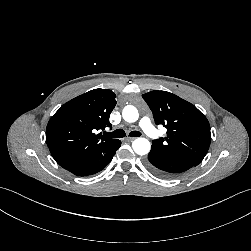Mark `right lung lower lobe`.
Returning <instances> with one entry per match:
<instances>
[{
  "mask_svg": "<svg viewBox=\"0 0 251 251\" xmlns=\"http://www.w3.org/2000/svg\"><path fill=\"white\" fill-rule=\"evenodd\" d=\"M121 145V141L117 140L115 144H113L108 150L104 153L98 154L95 158L87 163L80 164L75 166L68 171L77 175V176H88L95 174L101 171L106 165L112 160L116 151L119 149Z\"/></svg>",
  "mask_w": 251,
  "mask_h": 251,
  "instance_id": "1",
  "label": "right lung lower lobe"
}]
</instances>
